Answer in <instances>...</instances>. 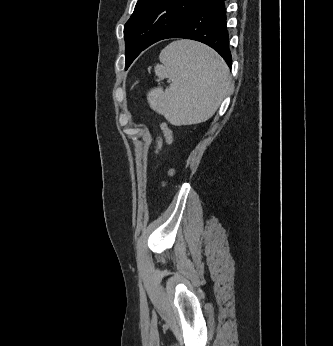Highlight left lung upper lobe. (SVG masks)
<instances>
[{
  "mask_svg": "<svg viewBox=\"0 0 333 346\" xmlns=\"http://www.w3.org/2000/svg\"><path fill=\"white\" fill-rule=\"evenodd\" d=\"M206 0H138L124 26L125 56L128 68L147 47L188 17Z\"/></svg>",
  "mask_w": 333,
  "mask_h": 346,
  "instance_id": "1",
  "label": "left lung upper lobe"
}]
</instances>
